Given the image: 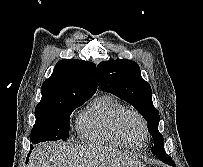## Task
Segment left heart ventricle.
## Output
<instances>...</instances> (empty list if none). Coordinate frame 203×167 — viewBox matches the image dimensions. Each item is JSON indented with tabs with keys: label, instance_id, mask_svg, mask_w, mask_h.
Returning <instances> with one entry per match:
<instances>
[{
	"label": "left heart ventricle",
	"instance_id": "left-heart-ventricle-1",
	"mask_svg": "<svg viewBox=\"0 0 203 167\" xmlns=\"http://www.w3.org/2000/svg\"><path fill=\"white\" fill-rule=\"evenodd\" d=\"M123 129L133 144L140 145L143 142V126L137 117L133 115L127 116L123 121Z\"/></svg>",
	"mask_w": 203,
	"mask_h": 167
}]
</instances>
